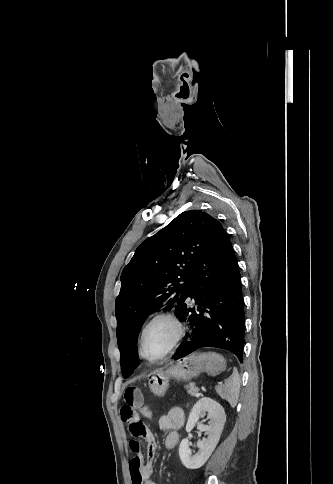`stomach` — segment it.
<instances>
[{
	"label": "stomach",
	"instance_id": "obj_1",
	"mask_svg": "<svg viewBox=\"0 0 333 484\" xmlns=\"http://www.w3.org/2000/svg\"><path fill=\"white\" fill-rule=\"evenodd\" d=\"M225 369L226 361L219 354L213 352L192 353L151 372L149 388L154 395L163 397L168 389L169 380L172 378L189 381L201 372L216 376Z\"/></svg>",
	"mask_w": 333,
	"mask_h": 484
}]
</instances>
